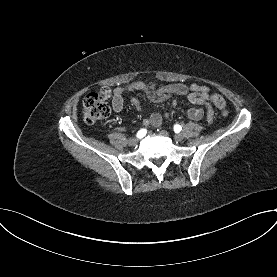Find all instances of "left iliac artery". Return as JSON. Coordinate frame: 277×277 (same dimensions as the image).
<instances>
[{
  "label": "left iliac artery",
  "mask_w": 277,
  "mask_h": 277,
  "mask_svg": "<svg viewBox=\"0 0 277 277\" xmlns=\"http://www.w3.org/2000/svg\"><path fill=\"white\" fill-rule=\"evenodd\" d=\"M181 129H182V127L180 125H178V124L174 126L175 132H180Z\"/></svg>",
  "instance_id": "1"
}]
</instances>
